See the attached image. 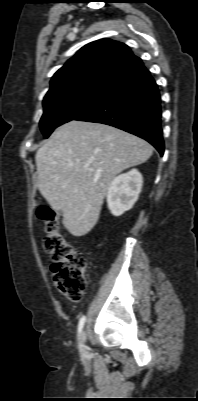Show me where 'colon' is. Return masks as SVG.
<instances>
[{
    "mask_svg": "<svg viewBox=\"0 0 198 401\" xmlns=\"http://www.w3.org/2000/svg\"><path fill=\"white\" fill-rule=\"evenodd\" d=\"M37 216L43 222L45 237L43 247L53 264V282L62 295L71 302L83 298L86 289L87 257L74 248L60 231V221L53 209L41 205Z\"/></svg>",
    "mask_w": 198,
    "mask_h": 401,
    "instance_id": "obj_1",
    "label": "colon"
}]
</instances>
